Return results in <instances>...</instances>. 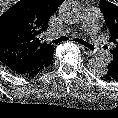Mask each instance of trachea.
Returning a JSON list of instances; mask_svg holds the SVG:
<instances>
[{
	"mask_svg": "<svg viewBox=\"0 0 118 118\" xmlns=\"http://www.w3.org/2000/svg\"><path fill=\"white\" fill-rule=\"evenodd\" d=\"M67 40H69L68 37L62 36V37H60V38H58V39H55V40L51 41L50 44L53 43V44L58 45V44H60L61 42L67 41ZM75 41L78 42V43H80L81 45H83V46L89 48L90 50H94V49H95L93 45L87 43V42L84 41L83 39L76 38Z\"/></svg>",
	"mask_w": 118,
	"mask_h": 118,
	"instance_id": "trachea-1",
	"label": "trachea"
}]
</instances>
